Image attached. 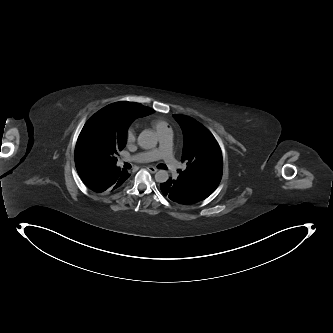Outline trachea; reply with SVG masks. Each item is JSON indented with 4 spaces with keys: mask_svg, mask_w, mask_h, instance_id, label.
<instances>
[{
    "mask_svg": "<svg viewBox=\"0 0 333 333\" xmlns=\"http://www.w3.org/2000/svg\"><path fill=\"white\" fill-rule=\"evenodd\" d=\"M160 168H162V169H167V166L164 165V164H162Z\"/></svg>",
    "mask_w": 333,
    "mask_h": 333,
    "instance_id": "3493384b",
    "label": "trachea"
}]
</instances>
